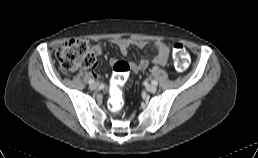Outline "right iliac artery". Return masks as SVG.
<instances>
[{
  "instance_id": "obj_1",
  "label": "right iliac artery",
  "mask_w": 258,
  "mask_h": 158,
  "mask_svg": "<svg viewBox=\"0 0 258 158\" xmlns=\"http://www.w3.org/2000/svg\"><path fill=\"white\" fill-rule=\"evenodd\" d=\"M88 83H89V84H93V83H94V80H93V79H90V80L88 81Z\"/></svg>"
}]
</instances>
